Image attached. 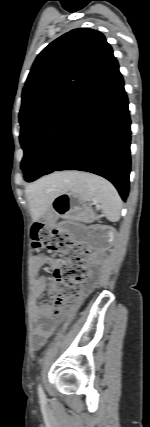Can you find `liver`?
Masks as SVG:
<instances>
[{"mask_svg": "<svg viewBox=\"0 0 150 427\" xmlns=\"http://www.w3.org/2000/svg\"><path fill=\"white\" fill-rule=\"evenodd\" d=\"M73 172L54 173L26 187L33 220H37L51 205L57 192L69 189Z\"/></svg>", "mask_w": 150, "mask_h": 427, "instance_id": "6515ba94", "label": "liver"}]
</instances>
